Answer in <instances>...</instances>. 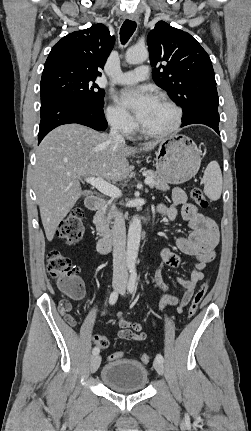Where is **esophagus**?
I'll return each mask as SVG.
<instances>
[{"label": "esophagus", "instance_id": "1", "mask_svg": "<svg viewBox=\"0 0 251 431\" xmlns=\"http://www.w3.org/2000/svg\"><path fill=\"white\" fill-rule=\"evenodd\" d=\"M129 20L139 23L140 19L136 13H132L128 16Z\"/></svg>", "mask_w": 251, "mask_h": 431}]
</instances>
